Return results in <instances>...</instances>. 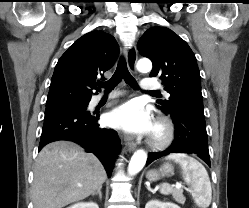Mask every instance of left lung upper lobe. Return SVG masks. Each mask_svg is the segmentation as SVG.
<instances>
[{"mask_svg":"<svg viewBox=\"0 0 249 208\" xmlns=\"http://www.w3.org/2000/svg\"><path fill=\"white\" fill-rule=\"evenodd\" d=\"M137 47L153 62L150 77H159L170 93L168 100L158 101V108L170 115L178 108L203 113L201 77L189 45L166 27H152L142 35Z\"/></svg>","mask_w":249,"mask_h":208,"instance_id":"5c2ea615","label":"left lung upper lobe"}]
</instances>
